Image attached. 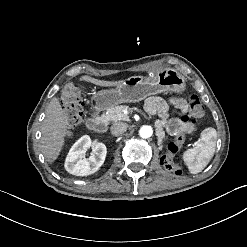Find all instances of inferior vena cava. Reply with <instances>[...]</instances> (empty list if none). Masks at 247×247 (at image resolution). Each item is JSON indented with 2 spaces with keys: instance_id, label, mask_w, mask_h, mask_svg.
Wrapping results in <instances>:
<instances>
[{
  "instance_id": "1",
  "label": "inferior vena cava",
  "mask_w": 247,
  "mask_h": 247,
  "mask_svg": "<svg viewBox=\"0 0 247 247\" xmlns=\"http://www.w3.org/2000/svg\"><path fill=\"white\" fill-rule=\"evenodd\" d=\"M127 124L124 122H117L111 126V133L115 136L121 135L127 131Z\"/></svg>"
}]
</instances>
